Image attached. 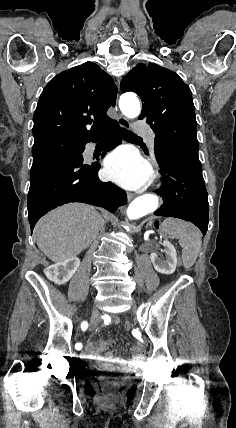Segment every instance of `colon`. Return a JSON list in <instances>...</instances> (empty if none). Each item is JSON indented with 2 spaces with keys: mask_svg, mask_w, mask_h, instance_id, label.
Masks as SVG:
<instances>
[{
  "mask_svg": "<svg viewBox=\"0 0 236 428\" xmlns=\"http://www.w3.org/2000/svg\"><path fill=\"white\" fill-rule=\"evenodd\" d=\"M124 328H125L126 330H129V329L131 328L130 323H129V322H126V323L124 324Z\"/></svg>",
  "mask_w": 236,
  "mask_h": 428,
  "instance_id": "1",
  "label": "colon"
}]
</instances>
